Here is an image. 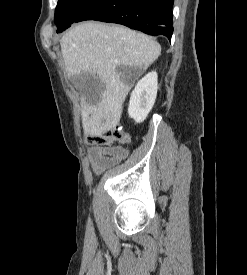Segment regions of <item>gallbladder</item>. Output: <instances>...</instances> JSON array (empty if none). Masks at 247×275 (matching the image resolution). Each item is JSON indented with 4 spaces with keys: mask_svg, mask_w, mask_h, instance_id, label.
<instances>
[{
    "mask_svg": "<svg viewBox=\"0 0 247 275\" xmlns=\"http://www.w3.org/2000/svg\"><path fill=\"white\" fill-rule=\"evenodd\" d=\"M71 83L76 87L84 97L89 99L92 95H98L103 89V84L99 79L91 74L80 73L71 78Z\"/></svg>",
    "mask_w": 247,
    "mask_h": 275,
    "instance_id": "bac80fb5",
    "label": "gallbladder"
}]
</instances>
